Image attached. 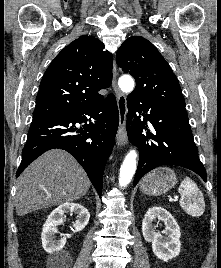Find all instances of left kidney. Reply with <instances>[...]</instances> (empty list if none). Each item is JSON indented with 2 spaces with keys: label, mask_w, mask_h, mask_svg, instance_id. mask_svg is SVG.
I'll list each match as a JSON object with an SVG mask.
<instances>
[{
  "label": "left kidney",
  "mask_w": 221,
  "mask_h": 268,
  "mask_svg": "<svg viewBox=\"0 0 221 268\" xmlns=\"http://www.w3.org/2000/svg\"><path fill=\"white\" fill-rule=\"evenodd\" d=\"M158 219L164 222L165 229L160 233L153 225ZM142 234L147 242H152L155 256L163 261L171 260L180 253V228L174 217L162 207H151L142 221Z\"/></svg>",
  "instance_id": "left-kidney-1"
}]
</instances>
